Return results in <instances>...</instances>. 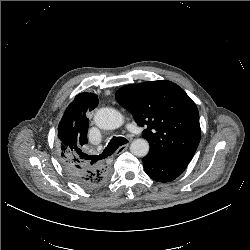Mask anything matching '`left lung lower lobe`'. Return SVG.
Segmentation results:
<instances>
[{"label": "left lung lower lobe", "mask_w": 250, "mask_h": 250, "mask_svg": "<svg viewBox=\"0 0 250 250\" xmlns=\"http://www.w3.org/2000/svg\"><path fill=\"white\" fill-rule=\"evenodd\" d=\"M142 160L146 174L158 182H169L176 179L188 165L185 162L168 161L150 153Z\"/></svg>", "instance_id": "obj_1"}]
</instances>
